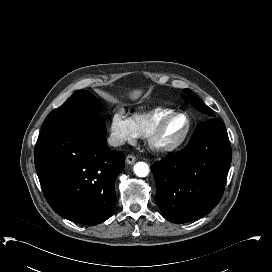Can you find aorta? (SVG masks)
I'll return each mask as SVG.
<instances>
[{"instance_id":"aorta-1","label":"aorta","mask_w":272,"mask_h":272,"mask_svg":"<svg viewBox=\"0 0 272 272\" xmlns=\"http://www.w3.org/2000/svg\"><path fill=\"white\" fill-rule=\"evenodd\" d=\"M134 172L138 177H146L149 174V166L145 162H138L134 166Z\"/></svg>"}]
</instances>
